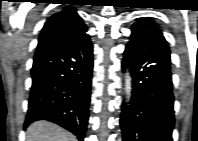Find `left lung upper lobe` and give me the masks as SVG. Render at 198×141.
I'll return each mask as SVG.
<instances>
[{
    "mask_svg": "<svg viewBox=\"0 0 198 141\" xmlns=\"http://www.w3.org/2000/svg\"><path fill=\"white\" fill-rule=\"evenodd\" d=\"M132 34L146 39H160L165 41V38L158 26L148 20H138L132 27Z\"/></svg>",
    "mask_w": 198,
    "mask_h": 141,
    "instance_id": "left-lung-upper-lobe-1",
    "label": "left lung upper lobe"
}]
</instances>
